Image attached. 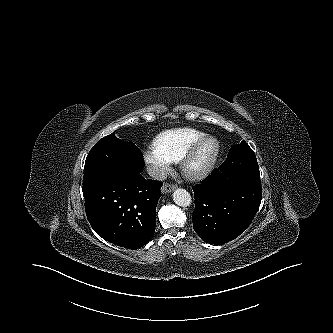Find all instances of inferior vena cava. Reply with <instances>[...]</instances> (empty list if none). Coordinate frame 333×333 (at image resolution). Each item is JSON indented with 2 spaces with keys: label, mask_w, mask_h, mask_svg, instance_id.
<instances>
[{
  "label": "inferior vena cava",
  "mask_w": 333,
  "mask_h": 333,
  "mask_svg": "<svg viewBox=\"0 0 333 333\" xmlns=\"http://www.w3.org/2000/svg\"><path fill=\"white\" fill-rule=\"evenodd\" d=\"M147 173L155 180L163 181L167 178V172L163 168L157 166H148Z\"/></svg>",
  "instance_id": "602c4592"
}]
</instances>
